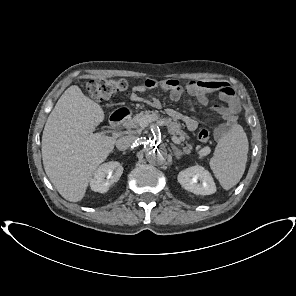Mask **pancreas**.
<instances>
[{
	"instance_id": "1",
	"label": "pancreas",
	"mask_w": 296,
	"mask_h": 296,
	"mask_svg": "<svg viewBox=\"0 0 296 296\" xmlns=\"http://www.w3.org/2000/svg\"><path fill=\"white\" fill-rule=\"evenodd\" d=\"M145 116H153L155 118V121L159 125L167 126L168 132L174 136L178 135L179 139L181 141H185V139L189 138L181 129V125L178 121H175L172 118L162 117L158 111H142V112L136 114L133 118L128 117L124 121L125 128H127L129 130H132V129L138 130V128L140 126V120ZM192 148H193L192 145L186 144V146L184 147V151L186 153H190ZM198 154L200 156H204L202 154V150L198 151Z\"/></svg>"
}]
</instances>
